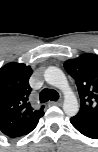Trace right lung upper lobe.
Wrapping results in <instances>:
<instances>
[{"instance_id":"obj_1","label":"right lung upper lobe","mask_w":98,"mask_h":152,"mask_svg":"<svg viewBox=\"0 0 98 152\" xmlns=\"http://www.w3.org/2000/svg\"><path fill=\"white\" fill-rule=\"evenodd\" d=\"M30 66L10 62L0 69V132L15 138L32 127L44 115L41 106L35 110L29 101Z\"/></svg>"}]
</instances>
